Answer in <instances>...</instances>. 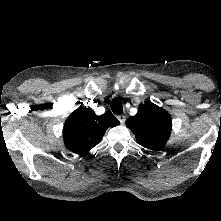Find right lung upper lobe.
Wrapping results in <instances>:
<instances>
[{
	"instance_id": "obj_1",
	"label": "right lung upper lobe",
	"mask_w": 221,
	"mask_h": 221,
	"mask_svg": "<svg viewBox=\"0 0 221 221\" xmlns=\"http://www.w3.org/2000/svg\"><path fill=\"white\" fill-rule=\"evenodd\" d=\"M119 124L118 119L109 112L97 116L92 109L80 107L65 122L64 143L74 153L83 155L100 142L109 127Z\"/></svg>"
}]
</instances>
